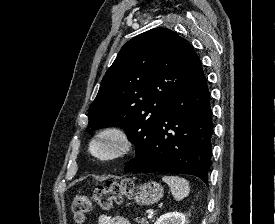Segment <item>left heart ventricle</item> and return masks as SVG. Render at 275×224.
Segmentation results:
<instances>
[{
  "instance_id": "1",
  "label": "left heart ventricle",
  "mask_w": 275,
  "mask_h": 224,
  "mask_svg": "<svg viewBox=\"0 0 275 224\" xmlns=\"http://www.w3.org/2000/svg\"><path fill=\"white\" fill-rule=\"evenodd\" d=\"M109 143L108 142H104L99 146V149L103 152H107L109 150Z\"/></svg>"
}]
</instances>
